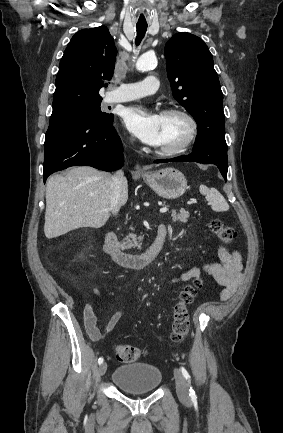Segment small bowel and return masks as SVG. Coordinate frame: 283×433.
I'll return each instance as SVG.
<instances>
[{
    "mask_svg": "<svg viewBox=\"0 0 283 433\" xmlns=\"http://www.w3.org/2000/svg\"><path fill=\"white\" fill-rule=\"evenodd\" d=\"M218 263H206L202 266L192 267L176 277L170 279L171 284L186 283L198 278L202 273L211 275L223 290L220 294L222 300L228 299L238 288L242 279V257L237 251H229L223 246L218 248ZM85 330L92 341L101 338L97 327V318L91 303L86 304L83 311ZM121 318V312H115L109 319L105 332H111Z\"/></svg>",
    "mask_w": 283,
    "mask_h": 433,
    "instance_id": "obj_1",
    "label": "small bowel"
}]
</instances>
